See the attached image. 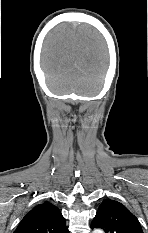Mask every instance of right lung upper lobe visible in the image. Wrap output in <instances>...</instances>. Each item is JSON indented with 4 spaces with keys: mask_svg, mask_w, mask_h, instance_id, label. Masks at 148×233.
<instances>
[{
    "mask_svg": "<svg viewBox=\"0 0 148 233\" xmlns=\"http://www.w3.org/2000/svg\"><path fill=\"white\" fill-rule=\"evenodd\" d=\"M14 233H69L59 209L49 202L35 206L28 212Z\"/></svg>",
    "mask_w": 148,
    "mask_h": 233,
    "instance_id": "obj_1",
    "label": "right lung upper lobe"
}]
</instances>
